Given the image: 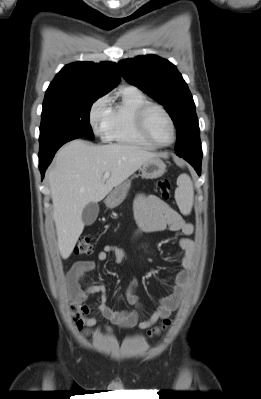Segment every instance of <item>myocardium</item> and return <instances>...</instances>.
<instances>
[{"mask_svg":"<svg viewBox=\"0 0 261 399\" xmlns=\"http://www.w3.org/2000/svg\"><path fill=\"white\" fill-rule=\"evenodd\" d=\"M152 109L160 110L165 115L167 120L169 121L171 130H172V139L170 140V142L159 143V142L155 141L150 136L148 129H147L146 117H147V114L149 113V111ZM135 126H136L138 134L146 142H148L149 144H151L152 146L157 147V148L169 147L174 144V142L176 141V138H177V129H176V125H175V122H174L172 116L162 105L157 104V103L147 102L137 109V111L135 113Z\"/></svg>","mask_w":261,"mask_h":399,"instance_id":"f54148a6","label":"myocardium"}]
</instances>
